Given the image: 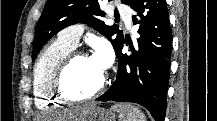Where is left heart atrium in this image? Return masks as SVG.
<instances>
[{
	"label": "left heart atrium",
	"mask_w": 217,
	"mask_h": 121,
	"mask_svg": "<svg viewBox=\"0 0 217 121\" xmlns=\"http://www.w3.org/2000/svg\"><path fill=\"white\" fill-rule=\"evenodd\" d=\"M93 59L96 61V63L99 64V66L102 68L103 71H105L106 67L109 64L110 60V54L105 49H99Z\"/></svg>",
	"instance_id": "left-heart-atrium-1"
}]
</instances>
